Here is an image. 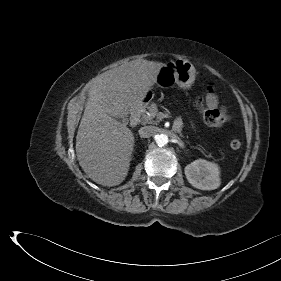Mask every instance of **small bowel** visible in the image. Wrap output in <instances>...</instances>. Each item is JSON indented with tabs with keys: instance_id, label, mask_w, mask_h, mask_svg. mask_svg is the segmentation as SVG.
<instances>
[{
	"instance_id": "small-bowel-1",
	"label": "small bowel",
	"mask_w": 281,
	"mask_h": 281,
	"mask_svg": "<svg viewBox=\"0 0 281 281\" xmlns=\"http://www.w3.org/2000/svg\"><path fill=\"white\" fill-rule=\"evenodd\" d=\"M196 105L199 107V109L203 110L204 108H218L219 106V99L218 96L215 93H207L204 98H202V101H196ZM225 111L224 108H221ZM182 123L181 120H178Z\"/></svg>"
}]
</instances>
